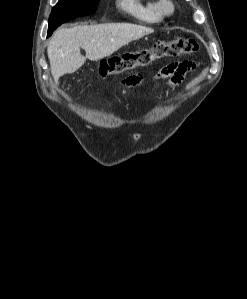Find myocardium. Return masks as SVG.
I'll return each instance as SVG.
<instances>
[{
    "label": "myocardium",
    "instance_id": "1",
    "mask_svg": "<svg viewBox=\"0 0 247 299\" xmlns=\"http://www.w3.org/2000/svg\"><path fill=\"white\" fill-rule=\"evenodd\" d=\"M158 8L162 15L169 16L175 11V5L171 0H160L158 2Z\"/></svg>",
    "mask_w": 247,
    "mask_h": 299
}]
</instances>
